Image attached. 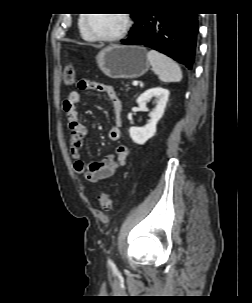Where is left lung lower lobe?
Masks as SVG:
<instances>
[{"mask_svg":"<svg viewBox=\"0 0 252 303\" xmlns=\"http://www.w3.org/2000/svg\"><path fill=\"white\" fill-rule=\"evenodd\" d=\"M197 31L196 13H142L122 44L150 47L192 69Z\"/></svg>","mask_w":252,"mask_h":303,"instance_id":"1","label":"left lung lower lobe"}]
</instances>
